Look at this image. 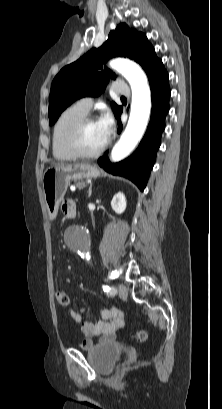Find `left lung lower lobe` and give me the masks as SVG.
Listing matches in <instances>:
<instances>
[{
    "instance_id": "obj_1",
    "label": "left lung lower lobe",
    "mask_w": 222,
    "mask_h": 409,
    "mask_svg": "<svg viewBox=\"0 0 222 409\" xmlns=\"http://www.w3.org/2000/svg\"><path fill=\"white\" fill-rule=\"evenodd\" d=\"M149 83L152 92L151 119L139 147L129 158L116 164L109 162L108 154L98 160L99 166L105 171L130 179L141 191L144 190L147 184L150 171L155 162L156 152L161 143V133L165 127L164 121L169 110L170 97L168 74L165 69L150 79ZM122 110L116 116L119 124L118 132L122 130L120 122Z\"/></svg>"
}]
</instances>
